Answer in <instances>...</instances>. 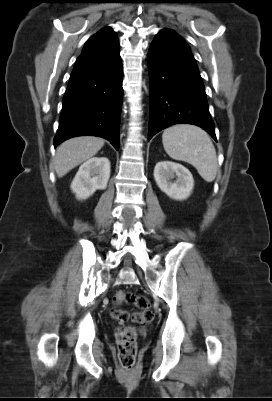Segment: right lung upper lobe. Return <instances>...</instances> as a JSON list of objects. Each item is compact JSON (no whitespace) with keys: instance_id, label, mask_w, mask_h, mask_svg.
I'll return each instance as SVG.
<instances>
[{"instance_id":"obj_1","label":"right lung upper lobe","mask_w":272,"mask_h":401,"mask_svg":"<svg viewBox=\"0 0 272 401\" xmlns=\"http://www.w3.org/2000/svg\"><path fill=\"white\" fill-rule=\"evenodd\" d=\"M119 45L115 32L105 27L87 40L73 71L85 67L107 55Z\"/></svg>"}]
</instances>
